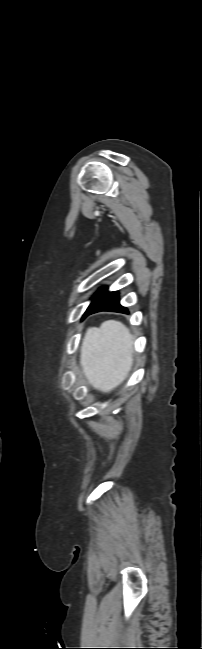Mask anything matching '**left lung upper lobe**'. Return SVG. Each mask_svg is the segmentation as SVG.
<instances>
[{"mask_svg": "<svg viewBox=\"0 0 202 649\" xmlns=\"http://www.w3.org/2000/svg\"><path fill=\"white\" fill-rule=\"evenodd\" d=\"M105 288H106V287H102V288H101V289H100V290L95 294V296L93 297V301H94V300H95V299H96V298H97V297H98V296H99V295L104 291Z\"/></svg>", "mask_w": 202, "mask_h": 649, "instance_id": "left-lung-upper-lobe-1", "label": "left lung upper lobe"}]
</instances>
